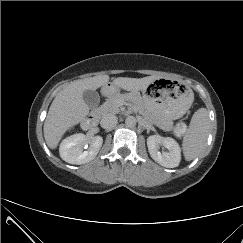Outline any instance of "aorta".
<instances>
[{
    "label": "aorta",
    "instance_id": "1",
    "mask_svg": "<svg viewBox=\"0 0 243 243\" xmlns=\"http://www.w3.org/2000/svg\"><path fill=\"white\" fill-rule=\"evenodd\" d=\"M136 123H137V120L134 116H128L125 119V124L127 125V127H130V128L135 127Z\"/></svg>",
    "mask_w": 243,
    "mask_h": 243
}]
</instances>
